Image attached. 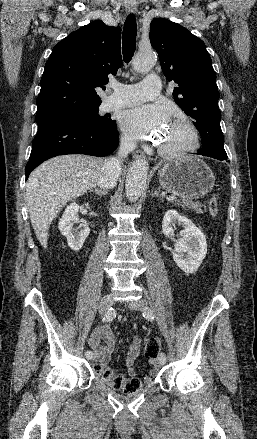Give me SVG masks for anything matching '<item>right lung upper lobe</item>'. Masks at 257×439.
Returning a JSON list of instances; mask_svg holds the SVG:
<instances>
[{"label":"right lung upper lobe","mask_w":257,"mask_h":439,"mask_svg":"<svg viewBox=\"0 0 257 439\" xmlns=\"http://www.w3.org/2000/svg\"><path fill=\"white\" fill-rule=\"evenodd\" d=\"M121 31L93 21L72 32L55 47L46 62L37 98L36 121L97 107L95 88L108 83L122 64Z\"/></svg>","instance_id":"1"}]
</instances>
